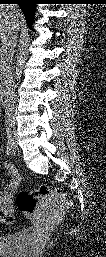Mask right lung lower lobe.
<instances>
[{
    "instance_id": "obj_1",
    "label": "right lung lower lobe",
    "mask_w": 106,
    "mask_h": 257,
    "mask_svg": "<svg viewBox=\"0 0 106 257\" xmlns=\"http://www.w3.org/2000/svg\"><path fill=\"white\" fill-rule=\"evenodd\" d=\"M0 3L18 4L24 13L28 26L30 28L32 27L33 13L37 0H0Z\"/></svg>"
}]
</instances>
